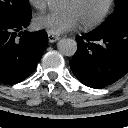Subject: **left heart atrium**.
<instances>
[{
  "label": "left heart atrium",
  "instance_id": "left-heart-atrium-1",
  "mask_svg": "<svg viewBox=\"0 0 128 128\" xmlns=\"http://www.w3.org/2000/svg\"><path fill=\"white\" fill-rule=\"evenodd\" d=\"M33 24L37 29L58 35L75 29L79 25V20L72 11L43 12L34 17Z\"/></svg>",
  "mask_w": 128,
  "mask_h": 128
}]
</instances>
